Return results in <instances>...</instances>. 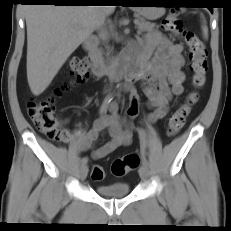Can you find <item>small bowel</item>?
Segmentation results:
<instances>
[{
	"instance_id": "c3829d8e",
	"label": "small bowel",
	"mask_w": 231,
	"mask_h": 231,
	"mask_svg": "<svg viewBox=\"0 0 231 231\" xmlns=\"http://www.w3.org/2000/svg\"><path fill=\"white\" fill-rule=\"evenodd\" d=\"M139 55V61L124 85L130 96L128 115L134 118L138 114L139 95L134 83L140 82L148 105L153 109L150 118H164L170 111L173 98L181 96L184 92L183 84L186 77L182 71L185 64L183 46L173 43L161 32L153 31L144 37ZM109 110L110 115L97 119L92 129L75 143L82 151L92 149L100 134L107 131L110 140L92 151V157L96 160L132 143V130L119 120L117 103H112Z\"/></svg>"
}]
</instances>
